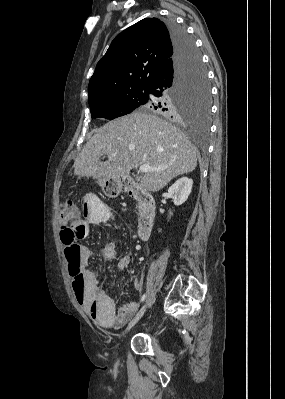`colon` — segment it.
<instances>
[{
	"label": "colon",
	"mask_w": 285,
	"mask_h": 399,
	"mask_svg": "<svg viewBox=\"0 0 285 399\" xmlns=\"http://www.w3.org/2000/svg\"><path fill=\"white\" fill-rule=\"evenodd\" d=\"M114 189H107L108 193L114 192ZM81 206L71 198H67L59 209V219L65 221L60 227V238L65 246L64 253L71 264V288L73 291L81 292L84 288V281L79 270V250L76 245L79 237L81 223L79 220ZM98 307L99 303H95Z\"/></svg>",
	"instance_id": "obj_1"
}]
</instances>
